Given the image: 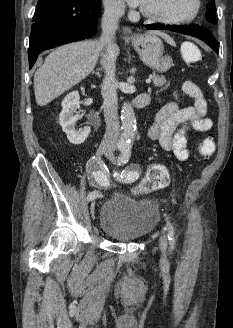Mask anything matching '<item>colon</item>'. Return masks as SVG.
Segmentation results:
<instances>
[{"instance_id":"1","label":"colon","mask_w":233,"mask_h":328,"mask_svg":"<svg viewBox=\"0 0 233 328\" xmlns=\"http://www.w3.org/2000/svg\"><path fill=\"white\" fill-rule=\"evenodd\" d=\"M185 60L196 62L201 59L199 49L192 43H186L182 47ZM215 151V144L211 139H206L198 146V152L204 161H207ZM169 172L164 165L154 164L148 168L138 186L134 189L135 194H147L164 188L169 183Z\"/></svg>"}]
</instances>
